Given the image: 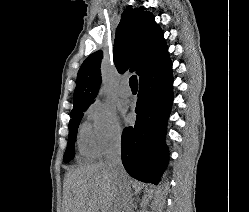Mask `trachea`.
<instances>
[{"instance_id": "1", "label": "trachea", "mask_w": 249, "mask_h": 212, "mask_svg": "<svg viewBox=\"0 0 249 212\" xmlns=\"http://www.w3.org/2000/svg\"><path fill=\"white\" fill-rule=\"evenodd\" d=\"M129 85L131 88H137L138 86V81L136 75H132L129 80Z\"/></svg>"}]
</instances>
